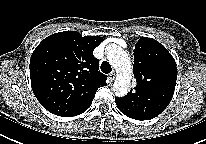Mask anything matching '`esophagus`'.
Instances as JSON below:
<instances>
[{
    "mask_svg": "<svg viewBox=\"0 0 206 144\" xmlns=\"http://www.w3.org/2000/svg\"><path fill=\"white\" fill-rule=\"evenodd\" d=\"M115 77H116L115 72H111V73L109 74V79H110L111 81H114Z\"/></svg>",
    "mask_w": 206,
    "mask_h": 144,
    "instance_id": "34e87169",
    "label": "esophagus"
}]
</instances>
